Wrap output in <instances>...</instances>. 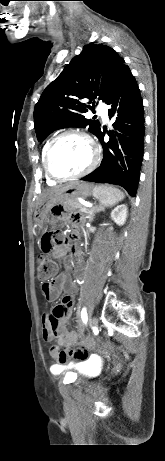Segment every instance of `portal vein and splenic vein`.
Returning <instances> with one entry per match:
<instances>
[{
  "mask_svg": "<svg viewBox=\"0 0 165 461\" xmlns=\"http://www.w3.org/2000/svg\"><path fill=\"white\" fill-rule=\"evenodd\" d=\"M80 203H81V205L83 206V207L81 208L82 211H85V210H87V208H91V207H92V204L89 203V202H80Z\"/></svg>",
  "mask_w": 165,
  "mask_h": 461,
  "instance_id": "1",
  "label": "portal vein and splenic vein"
}]
</instances>
